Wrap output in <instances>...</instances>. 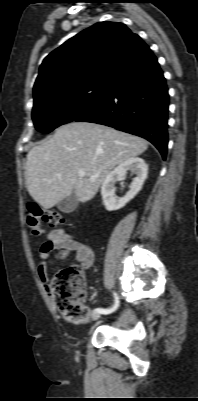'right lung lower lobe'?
Returning <instances> with one entry per match:
<instances>
[{
	"label": "right lung lower lobe",
	"instance_id": "right-lung-lower-lobe-1",
	"mask_svg": "<svg viewBox=\"0 0 198 401\" xmlns=\"http://www.w3.org/2000/svg\"><path fill=\"white\" fill-rule=\"evenodd\" d=\"M168 89L157 58L146 56L108 84L100 100L74 121L107 125L143 137L167 154Z\"/></svg>",
	"mask_w": 198,
	"mask_h": 401
}]
</instances>
